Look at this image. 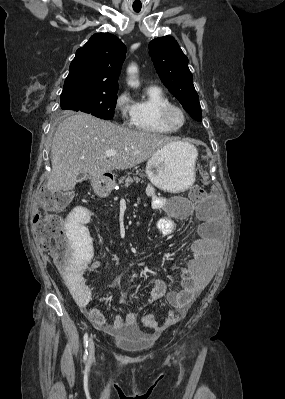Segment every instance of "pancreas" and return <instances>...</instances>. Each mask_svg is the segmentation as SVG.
<instances>
[{
    "label": "pancreas",
    "mask_w": 285,
    "mask_h": 399,
    "mask_svg": "<svg viewBox=\"0 0 285 399\" xmlns=\"http://www.w3.org/2000/svg\"><path fill=\"white\" fill-rule=\"evenodd\" d=\"M134 181L139 182L140 179L138 177H123L120 181V183H123L125 187H128L131 183H133Z\"/></svg>",
    "instance_id": "obj_1"
}]
</instances>
